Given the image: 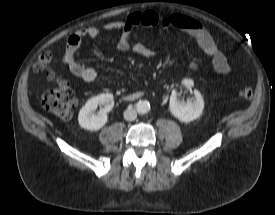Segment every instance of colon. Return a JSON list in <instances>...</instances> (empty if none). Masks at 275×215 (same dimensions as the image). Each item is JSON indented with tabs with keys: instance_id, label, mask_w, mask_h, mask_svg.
<instances>
[{
	"instance_id": "colon-1",
	"label": "colon",
	"mask_w": 275,
	"mask_h": 215,
	"mask_svg": "<svg viewBox=\"0 0 275 215\" xmlns=\"http://www.w3.org/2000/svg\"><path fill=\"white\" fill-rule=\"evenodd\" d=\"M51 62L52 58L50 56L42 55L35 67V70L39 74L45 75L48 80L54 79V75L49 72ZM252 96L253 90L250 87L241 88L238 92V97L243 100H249ZM76 104V96L65 80H57L56 87L48 90L42 96L43 107L62 120L71 117Z\"/></svg>"
}]
</instances>
